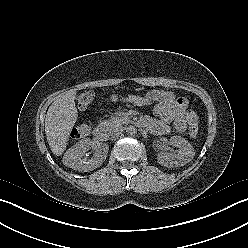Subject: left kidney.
<instances>
[{
    "label": "left kidney",
    "instance_id": "obj_1",
    "mask_svg": "<svg viewBox=\"0 0 248 248\" xmlns=\"http://www.w3.org/2000/svg\"><path fill=\"white\" fill-rule=\"evenodd\" d=\"M172 146L177 147L179 150L177 154L173 153H159L158 162L165 167L184 166L189 163L194 155L195 150L193 146L181 136H172L169 140Z\"/></svg>",
    "mask_w": 248,
    "mask_h": 248
}]
</instances>
